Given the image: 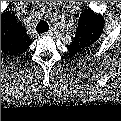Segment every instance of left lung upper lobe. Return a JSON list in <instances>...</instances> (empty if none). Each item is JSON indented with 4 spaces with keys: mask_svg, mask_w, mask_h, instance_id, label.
Instances as JSON below:
<instances>
[{
    "mask_svg": "<svg viewBox=\"0 0 121 121\" xmlns=\"http://www.w3.org/2000/svg\"><path fill=\"white\" fill-rule=\"evenodd\" d=\"M103 16L91 10L82 12L74 41L68 46L73 53L85 52L101 36L104 28Z\"/></svg>",
    "mask_w": 121,
    "mask_h": 121,
    "instance_id": "5c2ea615",
    "label": "left lung upper lobe"
}]
</instances>
